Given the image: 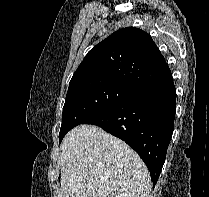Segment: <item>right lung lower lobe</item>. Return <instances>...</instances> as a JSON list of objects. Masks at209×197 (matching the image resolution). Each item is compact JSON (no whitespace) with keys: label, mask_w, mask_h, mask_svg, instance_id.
<instances>
[{"label":"right lung lower lobe","mask_w":209,"mask_h":197,"mask_svg":"<svg viewBox=\"0 0 209 197\" xmlns=\"http://www.w3.org/2000/svg\"><path fill=\"white\" fill-rule=\"evenodd\" d=\"M175 112L176 89L170 73L83 124L97 125L125 141L149 168L154 187L165 162Z\"/></svg>","instance_id":"98d812e1"}]
</instances>
